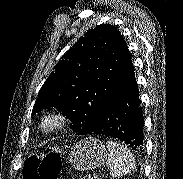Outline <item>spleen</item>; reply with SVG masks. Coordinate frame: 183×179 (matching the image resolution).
I'll return each instance as SVG.
<instances>
[{"mask_svg": "<svg viewBox=\"0 0 183 179\" xmlns=\"http://www.w3.org/2000/svg\"><path fill=\"white\" fill-rule=\"evenodd\" d=\"M107 148L109 154L106 165L113 178L126 175L134 170L135 159L125 146L118 142L108 140Z\"/></svg>", "mask_w": 183, "mask_h": 179, "instance_id": "1", "label": "spleen"}]
</instances>
